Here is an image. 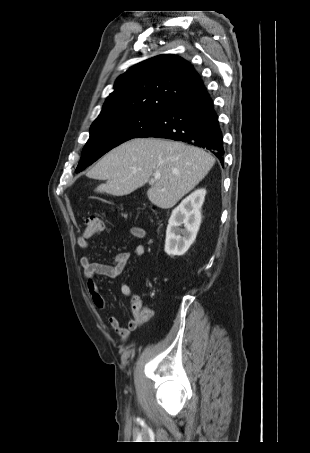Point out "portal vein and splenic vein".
Returning <instances> with one entry per match:
<instances>
[{
    "instance_id": "18ae733b",
    "label": "portal vein and splenic vein",
    "mask_w": 310,
    "mask_h": 453,
    "mask_svg": "<svg viewBox=\"0 0 310 453\" xmlns=\"http://www.w3.org/2000/svg\"><path fill=\"white\" fill-rule=\"evenodd\" d=\"M159 178H160V174H155V175H154V179H155V180H157V179H159Z\"/></svg>"
}]
</instances>
